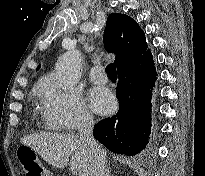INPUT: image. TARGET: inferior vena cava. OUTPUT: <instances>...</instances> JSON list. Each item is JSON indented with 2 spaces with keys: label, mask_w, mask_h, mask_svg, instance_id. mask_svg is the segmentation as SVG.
<instances>
[{
  "label": "inferior vena cava",
  "mask_w": 205,
  "mask_h": 176,
  "mask_svg": "<svg viewBox=\"0 0 205 176\" xmlns=\"http://www.w3.org/2000/svg\"><path fill=\"white\" fill-rule=\"evenodd\" d=\"M93 125V118L84 116L78 128L79 139L89 148L93 156L91 176H105L106 157L103 149L93 137Z\"/></svg>",
  "instance_id": "obj_1"
}]
</instances>
